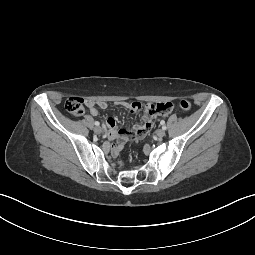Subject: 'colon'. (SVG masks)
<instances>
[{
	"instance_id": "1",
	"label": "colon",
	"mask_w": 255,
	"mask_h": 255,
	"mask_svg": "<svg viewBox=\"0 0 255 255\" xmlns=\"http://www.w3.org/2000/svg\"><path fill=\"white\" fill-rule=\"evenodd\" d=\"M86 101L80 97H71L66 101V110L73 116H81L85 112ZM178 106L183 111L191 109V103L188 100H180Z\"/></svg>"
}]
</instances>
